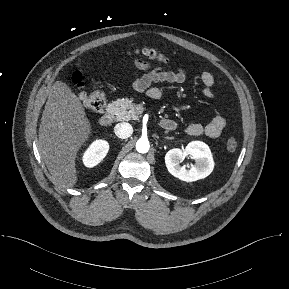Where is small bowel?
<instances>
[{"label":"small bowel","mask_w":289,"mask_h":289,"mask_svg":"<svg viewBox=\"0 0 289 289\" xmlns=\"http://www.w3.org/2000/svg\"><path fill=\"white\" fill-rule=\"evenodd\" d=\"M134 64L138 70L143 72L134 82L135 91L145 93L152 99H158L162 94L161 89L155 84H180L187 78L186 71L183 68H178L176 71L163 70L160 68L153 69L148 62L141 59L135 60ZM200 81L202 83L203 95L207 98H214L213 86L215 78L213 74L204 71L200 75ZM226 125V119L223 116L216 115L204 126L198 123L189 124L186 127V132L191 136L206 135L210 138H217L221 135Z\"/></svg>","instance_id":"obj_1"}]
</instances>
